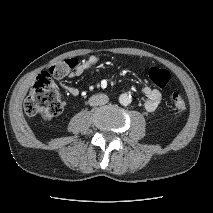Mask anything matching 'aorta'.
Masks as SVG:
<instances>
[{
    "label": "aorta",
    "mask_w": 213,
    "mask_h": 213,
    "mask_svg": "<svg viewBox=\"0 0 213 213\" xmlns=\"http://www.w3.org/2000/svg\"><path fill=\"white\" fill-rule=\"evenodd\" d=\"M119 102L123 106H127L132 102V98L127 93H123L119 96Z\"/></svg>",
    "instance_id": "obj_1"
}]
</instances>
